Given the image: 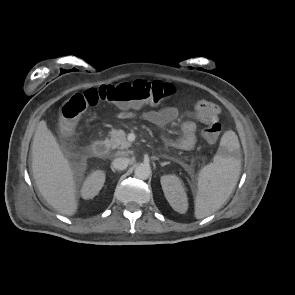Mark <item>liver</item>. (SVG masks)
<instances>
[{
    "mask_svg": "<svg viewBox=\"0 0 295 295\" xmlns=\"http://www.w3.org/2000/svg\"><path fill=\"white\" fill-rule=\"evenodd\" d=\"M31 153L40 194L60 214L73 216L79 205L74 170L44 120L35 130Z\"/></svg>",
    "mask_w": 295,
    "mask_h": 295,
    "instance_id": "1",
    "label": "liver"
}]
</instances>
